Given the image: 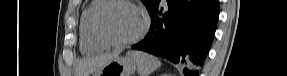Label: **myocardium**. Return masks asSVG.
Segmentation results:
<instances>
[{
  "label": "myocardium",
  "instance_id": "myocardium-1",
  "mask_svg": "<svg viewBox=\"0 0 287 76\" xmlns=\"http://www.w3.org/2000/svg\"><path fill=\"white\" fill-rule=\"evenodd\" d=\"M115 4H126L128 6H131L135 8L142 15L143 26L141 30L134 37L125 40H115L107 36L102 30L101 19L105 14V12ZM149 27H150V19L145 9L130 0H104L102 5L96 10L92 18V33L96 38V40L105 47L118 48L135 44L144 38V36L147 34L149 30Z\"/></svg>",
  "mask_w": 287,
  "mask_h": 76
}]
</instances>
